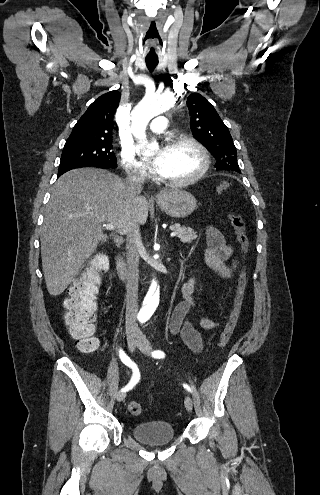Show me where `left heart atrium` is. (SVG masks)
Masks as SVG:
<instances>
[{
  "label": "left heart atrium",
  "mask_w": 320,
  "mask_h": 495,
  "mask_svg": "<svg viewBox=\"0 0 320 495\" xmlns=\"http://www.w3.org/2000/svg\"><path fill=\"white\" fill-rule=\"evenodd\" d=\"M152 168L155 172H157L159 174L163 173V170H164V158H163V156H160V157L155 159V161L153 162Z\"/></svg>",
  "instance_id": "39dd6f15"
}]
</instances>
